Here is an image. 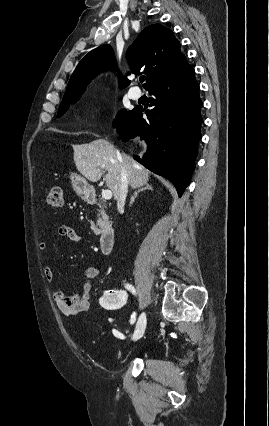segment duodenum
Here are the masks:
<instances>
[{
  "mask_svg": "<svg viewBox=\"0 0 269 426\" xmlns=\"http://www.w3.org/2000/svg\"><path fill=\"white\" fill-rule=\"evenodd\" d=\"M87 200L92 204L97 203V198L93 194L88 195ZM114 241V229L107 226H103L100 234V248L103 254H110L112 252Z\"/></svg>",
  "mask_w": 269,
  "mask_h": 426,
  "instance_id": "410a0bca",
  "label": "duodenum"
}]
</instances>
